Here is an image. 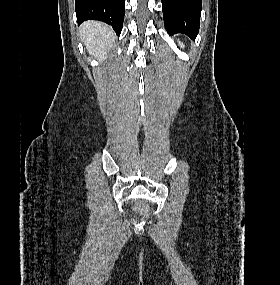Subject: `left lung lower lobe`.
Segmentation results:
<instances>
[{"instance_id":"1","label":"left lung lower lobe","mask_w":280,"mask_h":285,"mask_svg":"<svg viewBox=\"0 0 280 285\" xmlns=\"http://www.w3.org/2000/svg\"><path fill=\"white\" fill-rule=\"evenodd\" d=\"M163 18L169 34L183 33L195 38L199 31L201 0H162Z\"/></svg>"}]
</instances>
